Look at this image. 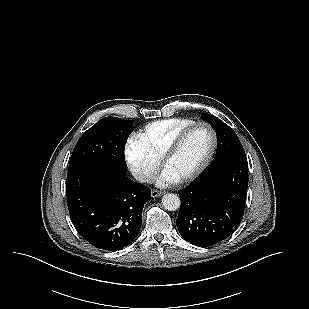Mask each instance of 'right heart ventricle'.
I'll return each instance as SVG.
<instances>
[{
  "label": "right heart ventricle",
  "instance_id": "obj_1",
  "mask_svg": "<svg viewBox=\"0 0 309 309\" xmlns=\"http://www.w3.org/2000/svg\"><path fill=\"white\" fill-rule=\"evenodd\" d=\"M195 121L188 118H170L146 125L136 140L150 153L161 159L175 137Z\"/></svg>",
  "mask_w": 309,
  "mask_h": 309
}]
</instances>
